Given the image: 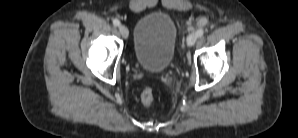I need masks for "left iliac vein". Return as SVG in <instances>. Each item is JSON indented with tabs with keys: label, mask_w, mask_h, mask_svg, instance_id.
I'll use <instances>...</instances> for the list:
<instances>
[{
	"label": "left iliac vein",
	"mask_w": 298,
	"mask_h": 138,
	"mask_svg": "<svg viewBox=\"0 0 298 138\" xmlns=\"http://www.w3.org/2000/svg\"><path fill=\"white\" fill-rule=\"evenodd\" d=\"M198 36H197V33H191L190 35H188L187 37V45L190 47V46H193L197 40Z\"/></svg>",
	"instance_id": "1"
}]
</instances>
